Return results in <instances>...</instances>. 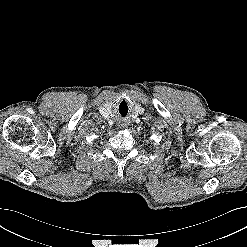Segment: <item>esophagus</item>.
Here are the masks:
<instances>
[{
	"label": "esophagus",
	"instance_id": "1",
	"mask_svg": "<svg viewBox=\"0 0 247 247\" xmlns=\"http://www.w3.org/2000/svg\"><path fill=\"white\" fill-rule=\"evenodd\" d=\"M121 127H122V128H125V127H127V125H126L125 123H122V124H121Z\"/></svg>",
	"mask_w": 247,
	"mask_h": 247
}]
</instances>
